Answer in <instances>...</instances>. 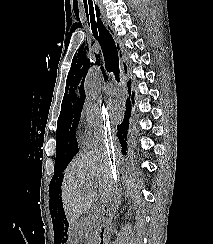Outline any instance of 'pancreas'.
Segmentation results:
<instances>
[{
	"instance_id": "pancreas-1",
	"label": "pancreas",
	"mask_w": 213,
	"mask_h": 244,
	"mask_svg": "<svg viewBox=\"0 0 213 244\" xmlns=\"http://www.w3.org/2000/svg\"><path fill=\"white\" fill-rule=\"evenodd\" d=\"M101 227L96 218H91L83 223L82 233L89 243L96 242L100 235Z\"/></svg>"
}]
</instances>
